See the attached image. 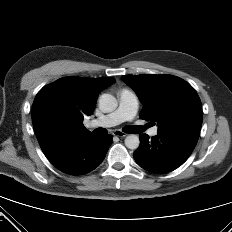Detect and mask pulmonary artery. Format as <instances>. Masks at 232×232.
<instances>
[{"mask_svg":"<svg viewBox=\"0 0 232 232\" xmlns=\"http://www.w3.org/2000/svg\"><path fill=\"white\" fill-rule=\"evenodd\" d=\"M118 107L115 111L93 119L88 123V127H113L125 121H131L137 114L139 108V99L137 95L128 89H122L118 93ZM158 133V126L151 128L148 131L150 136H155Z\"/></svg>","mask_w":232,"mask_h":232,"instance_id":"e3ab8cb5","label":"pulmonary artery"}]
</instances>
